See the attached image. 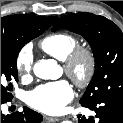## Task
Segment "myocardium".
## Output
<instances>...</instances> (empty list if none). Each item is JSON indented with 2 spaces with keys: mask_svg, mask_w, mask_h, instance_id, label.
Listing matches in <instances>:
<instances>
[{
  "mask_svg": "<svg viewBox=\"0 0 123 123\" xmlns=\"http://www.w3.org/2000/svg\"><path fill=\"white\" fill-rule=\"evenodd\" d=\"M63 68L78 87L88 86L97 69L94 51L88 46H76L63 60Z\"/></svg>",
  "mask_w": 123,
  "mask_h": 123,
  "instance_id": "1",
  "label": "myocardium"
}]
</instances>
